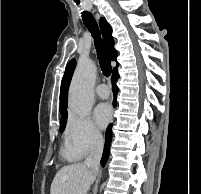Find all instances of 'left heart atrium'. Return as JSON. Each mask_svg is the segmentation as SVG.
Masks as SVG:
<instances>
[{
	"instance_id": "obj_1",
	"label": "left heart atrium",
	"mask_w": 201,
	"mask_h": 194,
	"mask_svg": "<svg viewBox=\"0 0 201 194\" xmlns=\"http://www.w3.org/2000/svg\"><path fill=\"white\" fill-rule=\"evenodd\" d=\"M112 116L111 107L107 103H100L94 109V118L97 124L104 128Z\"/></svg>"
}]
</instances>
